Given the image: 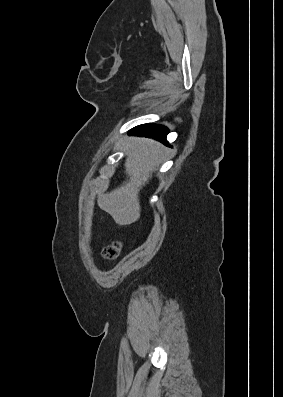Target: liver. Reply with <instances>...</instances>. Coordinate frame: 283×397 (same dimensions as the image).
Instances as JSON below:
<instances>
[{
	"label": "liver",
	"mask_w": 283,
	"mask_h": 397,
	"mask_svg": "<svg viewBox=\"0 0 283 397\" xmlns=\"http://www.w3.org/2000/svg\"><path fill=\"white\" fill-rule=\"evenodd\" d=\"M165 151V147L154 140L133 138L129 142L125 161L129 179L110 193L99 195L97 200L98 206L118 225H130L140 218L138 194L152 177Z\"/></svg>",
	"instance_id": "1"
}]
</instances>
